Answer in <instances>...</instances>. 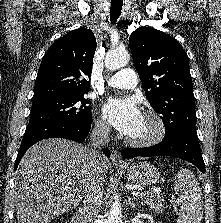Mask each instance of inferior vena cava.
Wrapping results in <instances>:
<instances>
[{"label": "inferior vena cava", "instance_id": "1", "mask_svg": "<svg viewBox=\"0 0 221 223\" xmlns=\"http://www.w3.org/2000/svg\"><path fill=\"white\" fill-rule=\"evenodd\" d=\"M90 141L93 147L89 149L90 168L87 173L83 201V221L84 223H96L103 198V176L100 173L101 153L98 147L108 144L109 127L105 123L97 122L90 134Z\"/></svg>", "mask_w": 221, "mask_h": 223}]
</instances>
